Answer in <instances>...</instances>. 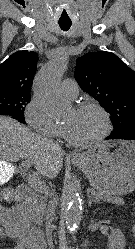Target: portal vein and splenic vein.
<instances>
[{
    "label": "portal vein and splenic vein",
    "instance_id": "portal-vein-and-splenic-vein-1",
    "mask_svg": "<svg viewBox=\"0 0 135 249\" xmlns=\"http://www.w3.org/2000/svg\"><path fill=\"white\" fill-rule=\"evenodd\" d=\"M32 164V161L27 159L25 162L22 163L23 166V171L26 172L27 168L30 167ZM13 172V166L11 164H1L0 163V178L2 177H8L12 174ZM28 184L35 188L36 190L40 191V192H46V188L43 185V183L41 182V180L32 174L27 175L26 177ZM92 195H94V193H91Z\"/></svg>",
    "mask_w": 135,
    "mask_h": 249
}]
</instances>
